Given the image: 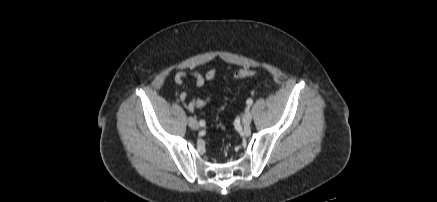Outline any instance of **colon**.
<instances>
[{
	"label": "colon",
	"instance_id": "obj_1",
	"mask_svg": "<svg viewBox=\"0 0 437 202\" xmlns=\"http://www.w3.org/2000/svg\"><path fill=\"white\" fill-rule=\"evenodd\" d=\"M255 75H256V71L253 69H241L234 74V79L239 80V79L253 77Z\"/></svg>",
	"mask_w": 437,
	"mask_h": 202
}]
</instances>
